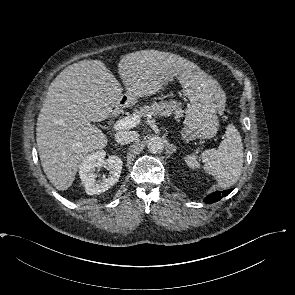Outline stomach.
Wrapping results in <instances>:
<instances>
[{"mask_svg": "<svg viewBox=\"0 0 295 295\" xmlns=\"http://www.w3.org/2000/svg\"><path fill=\"white\" fill-rule=\"evenodd\" d=\"M162 77L163 86L177 77L184 95L190 100L185 112L182 137L186 141L214 137L219 128L218 114L223 112L226 101L219 83L201 70L175 71ZM124 99L127 100L126 95L120 101Z\"/></svg>", "mask_w": 295, "mask_h": 295, "instance_id": "1", "label": "stomach"}]
</instances>
